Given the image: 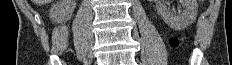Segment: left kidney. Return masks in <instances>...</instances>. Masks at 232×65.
<instances>
[{
	"label": "left kidney",
	"mask_w": 232,
	"mask_h": 65,
	"mask_svg": "<svg viewBox=\"0 0 232 65\" xmlns=\"http://www.w3.org/2000/svg\"><path fill=\"white\" fill-rule=\"evenodd\" d=\"M183 12L176 14L171 11L164 0H155L156 9L165 23L174 30H183L191 25L197 16L198 4L196 0H180Z\"/></svg>",
	"instance_id": "1"
}]
</instances>
